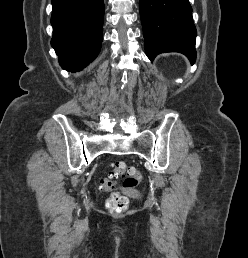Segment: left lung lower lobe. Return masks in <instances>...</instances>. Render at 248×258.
Listing matches in <instances>:
<instances>
[{"instance_id":"obj_1","label":"left lung lower lobe","mask_w":248,"mask_h":258,"mask_svg":"<svg viewBox=\"0 0 248 258\" xmlns=\"http://www.w3.org/2000/svg\"><path fill=\"white\" fill-rule=\"evenodd\" d=\"M140 16L147 57L180 52L196 60V28L188 0H140Z\"/></svg>"}]
</instances>
